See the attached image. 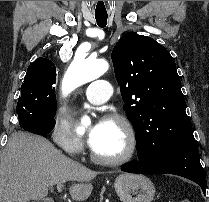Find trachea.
<instances>
[{
	"label": "trachea",
	"mask_w": 209,
	"mask_h": 202,
	"mask_svg": "<svg viewBox=\"0 0 209 202\" xmlns=\"http://www.w3.org/2000/svg\"><path fill=\"white\" fill-rule=\"evenodd\" d=\"M107 18H108L107 15H96L95 14L96 22H97L98 26H100V27H105L106 26Z\"/></svg>",
	"instance_id": "1"
}]
</instances>
